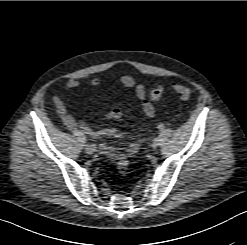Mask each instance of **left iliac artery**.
I'll list each match as a JSON object with an SVG mask.
<instances>
[{
    "label": "left iliac artery",
    "instance_id": "44dca946",
    "mask_svg": "<svg viewBox=\"0 0 247 245\" xmlns=\"http://www.w3.org/2000/svg\"><path fill=\"white\" fill-rule=\"evenodd\" d=\"M158 129H159V130H163V129H164V125H163V124H160V125L158 126Z\"/></svg>",
    "mask_w": 247,
    "mask_h": 245
}]
</instances>
